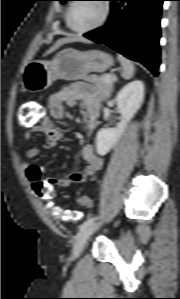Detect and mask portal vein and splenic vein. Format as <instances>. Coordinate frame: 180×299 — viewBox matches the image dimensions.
Masks as SVG:
<instances>
[{"instance_id": "1", "label": "portal vein and splenic vein", "mask_w": 180, "mask_h": 299, "mask_svg": "<svg viewBox=\"0 0 180 299\" xmlns=\"http://www.w3.org/2000/svg\"><path fill=\"white\" fill-rule=\"evenodd\" d=\"M106 81H107V82H112V81H113V77H112V75H107V77H106Z\"/></svg>"}]
</instances>
